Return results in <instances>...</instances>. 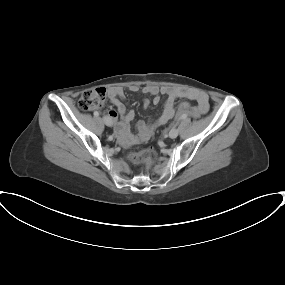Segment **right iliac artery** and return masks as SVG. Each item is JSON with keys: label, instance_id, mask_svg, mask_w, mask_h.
<instances>
[{"label": "right iliac artery", "instance_id": "1", "mask_svg": "<svg viewBox=\"0 0 285 285\" xmlns=\"http://www.w3.org/2000/svg\"><path fill=\"white\" fill-rule=\"evenodd\" d=\"M94 114H95L96 116H98V115H99V113H98V112H95Z\"/></svg>", "mask_w": 285, "mask_h": 285}]
</instances>
